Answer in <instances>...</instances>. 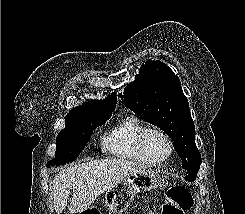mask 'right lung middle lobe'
Segmentation results:
<instances>
[{
	"label": "right lung middle lobe",
	"instance_id": "obj_1",
	"mask_svg": "<svg viewBox=\"0 0 245 214\" xmlns=\"http://www.w3.org/2000/svg\"><path fill=\"white\" fill-rule=\"evenodd\" d=\"M110 117L111 113L89 114L73 118L69 126L57 135L55 158L47 163V167L75 161L87 145L93 130L103 125Z\"/></svg>",
	"mask_w": 245,
	"mask_h": 214
}]
</instances>
